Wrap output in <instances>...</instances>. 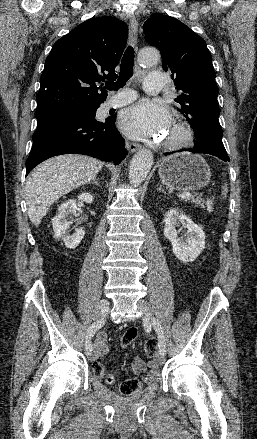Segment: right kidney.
Segmentation results:
<instances>
[{
    "instance_id": "ca27d5eb",
    "label": "right kidney",
    "mask_w": 257,
    "mask_h": 439,
    "mask_svg": "<svg viewBox=\"0 0 257 439\" xmlns=\"http://www.w3.org/2000/svg\"><path fill=\"white\" fill-rule=\"evenodd\" d=\"M78 200L91 204L93 202V196L89 193H82L78 196ZM76 210V200H68L67 202L59 205L58 214L52 219L54 235L58 238H61L65 243V246L69 249L76 248L85 235V231L83 229H76L72 235L69 234L68 229L70 222L68 219L70 218L71 214L76 213Z\"/></svg>"
}]
</instances>
